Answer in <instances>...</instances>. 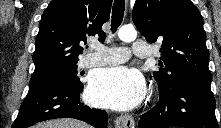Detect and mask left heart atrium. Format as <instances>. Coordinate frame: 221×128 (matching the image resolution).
I'll return each mask as SVG.
<instances>
[{
  "label": "left heart atrium",
  "mask_w": 221,
  "mask_h": 128,
  "mask_svg": "<svg viewBox=\"0 0 221 128\" xmlns=\"http://www.w3.org/2000/svg\"><path fill=\"white\" fill-rule=\"evenodd\" d=\"M145 95L142 77L126 67L101 69L95 72L87 88L92 103L115 110L138 106Z\"/></svg>",
  "instance_id": "left-heart-atrium-1"
}]
</instances>
